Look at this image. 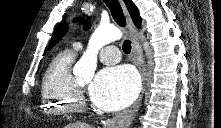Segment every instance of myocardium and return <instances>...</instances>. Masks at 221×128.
Instances as JSON below:
<instances>
[{
  "mask_svg": "<svg viewBox=\"0 0 221 128\" xmlns=\"http://www.w3.org/2000/svg\"><path fill=\"white\" fill-rule=\"evenodd\" d=\"M86 106L87 100L83 95L82 87L79 83H77L73 91V101L71 103V108L72 110L79 111L84 109Z\"/></svg>",
  "mask_w": 221,
  "mask_h": 128,
  "instance_id": "f54148a6",
  "label": "myocardium"
}]
</instances>
